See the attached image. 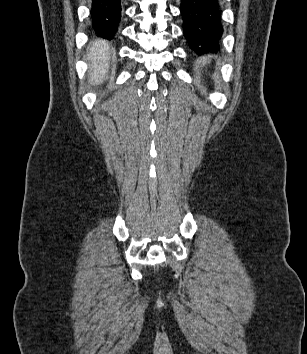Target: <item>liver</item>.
Here are the masks:
<instances>
[{"instance_id":"6515ba94","label":"liver","mask_w":307,"mask_h":354,"mask_svg":"<svg viewBox=\"0 0 307 354\" xmlns=\"http://www.w3.org/2000/svg\"><path fill=\"white\" fill-rule=\"evenodd\" d=\"M110 54V46L105 41L97 40L92 43L86 58L90 62L89 83L91 85H99L107 79Z\"/></svg>"}]
</instances>
